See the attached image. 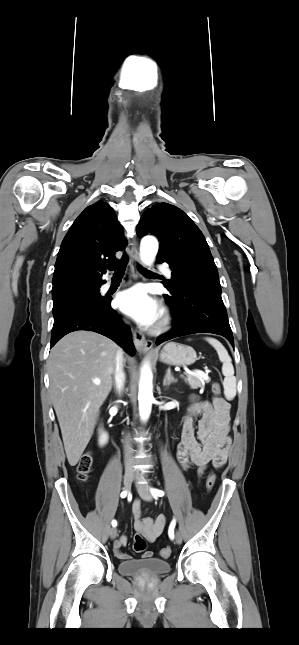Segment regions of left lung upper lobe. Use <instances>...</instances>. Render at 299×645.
Listing matches in <instances>:
<instances>
[{"label": "left lung upper lobe", "instance_id": "obj_1", "mask_svg": "<svg viewBox=\"0 0 299 645\" xmlns=\"http://www.w3.org/2000/svg\"><path fill=\"white\" fill-rule=\"evenodd\" d=\"M148 234L160 241L157 261L167 262L172 270V279L165 285L174 287L184 270L218 275L204 235L176 206L162 202L147 209L137 226V235L141 238Z\"/></svg>", "mask_w": 299, "mask_h": 645}]
</instances>
